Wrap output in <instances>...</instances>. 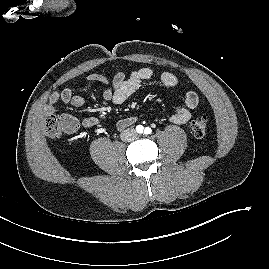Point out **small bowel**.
<instances>
[{
    "mask_svg": "<svg viewBox=\"0 0 269 269\" xmlns=\"http://www.w3.org/2000/svg\"><path fill=\"white\" fill-rule=\"evenodd\" d=\"M86 79L89 82L104 85L105 90L103 92V99L117 105L123 104L130 96L139 90L144 82L158 80L164 86L171 88L178 85V78L173 73L168 71L156 72L148 67L134 70L128 76L122 71L117 72L111 81L100 73H91ZM59 101L74 107H81L84 104V99L80 95L75 94L73 87H66L60 92L51 94L45 107V111L47 113L54 112ZM198 104V94L194 91L187 92L183 104L177 107L172 114L170 118L171 122L179 125L186 123L191 118L192 110H194ZM71 118L75 122L76 127L73 131L75 132L78 128V122L74 117L71 116ZM136 121V116H129L120 119L116 126L119 130H123L133 125ZM81 124L84 128H92L99 124V119L96 117H87L83 119Z\"/></svg>",
    "mask_w": 269,
    "mask_h": 269,
    "instance_id": "small-bowel-1",
    "label": "small bowel"
}]
</instances>
